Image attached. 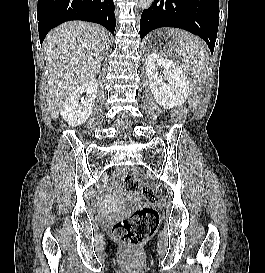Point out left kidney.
I'll list each match as a JSON object with an SVG mask.
<instances>
[{
  "label": "left kidney",
  "mask_w": 265,
  "mask_h": 273,
  "mask_svg": "<svg viewBox=\"0 0 265 273\" xmlns=\"http://www.w3.org/2000/svg\"><path fill=\"white\" fill-rule=\"evenodd\" d=\"M160 68L164 75H159ZM145 69L151 92L161 107L170 109L184 104L189 96V82L179 65L152 53L146 58Z\"/></svg>",
  "instance_id": "5707ae66"
}]
</instances>
